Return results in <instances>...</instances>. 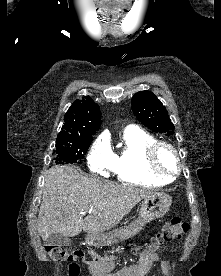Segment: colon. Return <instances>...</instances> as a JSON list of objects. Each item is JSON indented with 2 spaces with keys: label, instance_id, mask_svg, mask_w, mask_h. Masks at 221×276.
<instances>
[{
  "label": "colon",
  "instance_id": "5ec220e1",
  "mask_svg": "<svg viewBox=\"0 0 221 276\" xmlns=\"http://www.w3.org/2000/svg\"><path fill=\"white\" fill-rule=\"evenodd\" d=\"M189 230V225L178 217L165 222L159 232L156 234L153 244L150 246L157 247L177 240ZM45 251L49 257L55 261L69 263V275L78 276V261L85 260V253L81 250L70 251L60 246H45Z\"/></svg>",
  "mask_w": 221,
  "mask_h": 276
}]
</instances>
